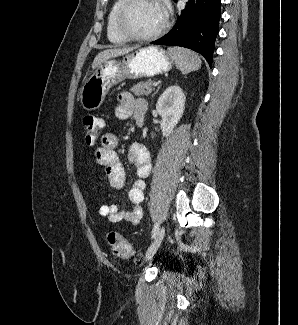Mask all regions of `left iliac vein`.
<instances>
[{
    "mask_svg": "<svg viewBox=\"0 0 298 325\" xmlns=\"http://www.w3.org/2000/svg\"><path fill=\"white\" fill-rule=\"evenodd\" d=\"M164 236H165V228L161 227L158 229L153 242L151 243V245L149 246V248L146 251V254H145L146 261L150 260L154 256V254L157 252L158 248L160 247V245L163 241Z\"/></svg>",
    "mask_w": 298,
    "mask_h": 325,
    "instance_id": "4c4485c4",
    "label": "left iliac vein"
}]
</instances>
